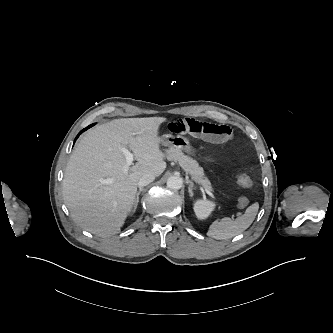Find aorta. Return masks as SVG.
I'll return each instance as SVG.
<instances>
[{
  "label": "aorta",
  "mask_w": 333,
  "mask_h": 333,
  "mask_svg": "<svg viewBox=\"0 0 333 333\" xmlns=\"http://www.w3.org/2000/svg\"><path fill=\"white\" fill-rule=\"evenodd\" d=\"M183 185L182 178L179 176H171L167 180V187L172 190H179Z\"/></svg>",
  "instance_id": "1"
}]
</instances>
